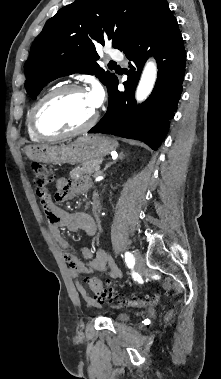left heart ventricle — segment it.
Wrapping results in <instances>:
<instances>
[{
  "instance_id": "1",
  "label": "left heart ventricle",
  "mask_w": 221,
  "mask_h": 379,
  "mask_svg": "<svg viewBox=\"0 0 221 379\" xmlns=\"http://www.w3.org/2000/svg\"><path fill=\"white\" fill-rule=\"evenodd\" d=\"M87 93L69 92L47 103L39 115V126L46 133H59L77 128L94 114Z\"/></svg>"
}]
</instances>
